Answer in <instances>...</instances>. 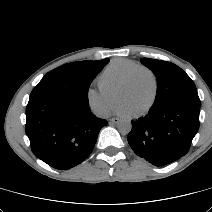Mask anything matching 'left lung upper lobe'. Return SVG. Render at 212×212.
Returning a JSON list of instances; mask_svg holds the SVG:
<instances>
[{"mask_svg":"<svg viewBox=\"0 0 212 212\" xmlns=\"http://www.w3.org/2000/svg\"><path fill=\"white\" fill-rule=\"evenodd\" d=\"M141 63L157 77L154 105L186 102L200 107L197 89L190 77L177 65L156 59L142 58Z\"/></svg>","mask_w":212,"mask_h":212,"instance_id":"1","label":"left lung upper lobe"}]
</instances>
